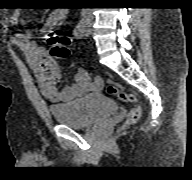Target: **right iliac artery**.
Returning a JSON list of instances; mask_svg holds the SVG:
<instances>
[{"label":"right iliac artery","instance_id":"obj_1","mask_svg":"<svg viewBox=\"0 0 192 180\" xmlns=\"http://www.w3.org/2000/svg\"><path fill=\"white\" fill-rule=\"evenodd\" d=\"M84 35V26H83V21H80L76 28L74 29V36L77 39H81Z\"/></svg>","mask_w":192,"mask_h":180}]
</instances>
